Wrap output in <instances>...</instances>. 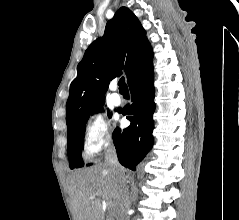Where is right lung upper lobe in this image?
<instances>
[{"label":"right lung upper lobe","mask_w":239,"mask_h":220,"mask_svg":"<svg viewBox=\"0 0 239 220\" xmlns=\"http://www.w3.org/2000/svg\"><path fill=\"white\" fill-rule=\"evenodd\" d=\"M152 60L153 51L141 23L132 11L121 7L107 22L103 37L90 44L77 66L66 104L67 126L104 105L109 80L121 70L129 81Z\"/></svg>","instance_id":"1"}]
</instances>
